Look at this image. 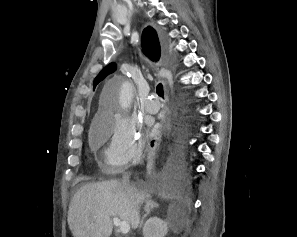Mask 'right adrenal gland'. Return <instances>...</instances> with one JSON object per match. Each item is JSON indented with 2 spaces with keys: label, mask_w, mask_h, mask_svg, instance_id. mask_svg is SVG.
Listing matches in <instances>:
<instances>
[{
  "label": "right adrenal gland",
  "mask_w": 297,
  "mask_h": 237,
  "mask_svg": "<svg viewBox=\"0 0 297 237\" xmlns=\"http://www.w3.org/2000/svg\"><path fill=\"white\" fill-rule=\"evenodd\" d=\"M145 203H146V205L144 207V210L146 213L142 217V220H141V223L139 226L140 228L143 225L144 219L150 214L151 209L158 208V206H159L154 200L151 199V196H149V195L146 196Z\"/></svg>",
  "instance_id": "right-adrenal-gland-1"
}]
</instances>
